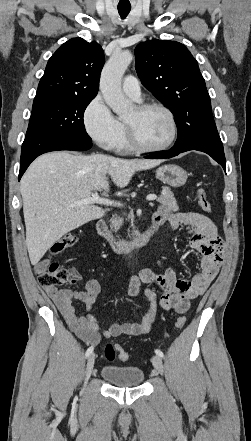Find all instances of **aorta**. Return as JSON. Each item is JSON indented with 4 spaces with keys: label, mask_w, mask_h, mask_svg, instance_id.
Instances as JSON below:
<instances>
[{
    "label": "aorta",
    "mask_w": 251,
    "mask_h": 441,
    "mask_svg": "<svg viewBox=\"0 0 251 441\" xmlns=\"http://www.w3.org/2000/svg\"><path fill=\"white\" fill-rule=\"evenodd\" d=\"M133 59L129 51L114 53L105 64L100 78V91L106 104L119 116L127 115L132 102L125 98L121 79Z\"/></svg>",
    "instance_id": "aorta-1"
}]
</instances>
